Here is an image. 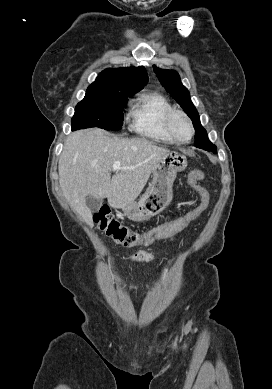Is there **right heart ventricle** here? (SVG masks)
Segmentation results:
<instances>
[{
	"mask_svg": "<svg viewBox=\"0 0 272 389\" xmlns=\"http://www.w3.org/2000/svg\"><path fill=\"white\" fill-rule=\"evenodd\" d=\"M172 109L163 94L156 91L144 93L133 101L129 112L130 129L157 142L174 143L164 125L165 116Z\"/></svg>",
	"mask_w": 272,
	"mask_h": 389,
	"instance_id": "e07e8e85",
	"label": "right heart ventricle"
}]
</instances>
